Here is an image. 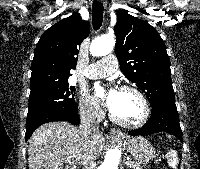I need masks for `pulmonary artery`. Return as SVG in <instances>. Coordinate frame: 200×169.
<instances>
[{"label": "pulmonary artery", "mask_w": 200, "mask_h": 169, "mask_svg": "<svg viewBox=\"0 0 200 169\" xmlns=\"http://www.w3.org/2000/svg\"><path fill=\"white\" fill-rule=\"evenodd\" d=\"M118 67L117 58L109 54L99 61L89 65L84 75L89 79L103 78L112 75Z\"/></svg>", "instance_id": "1"}]
</instances>
